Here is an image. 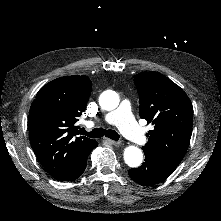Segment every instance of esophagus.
Returning <instances> with one entry per match:
<instances>
[{
	"instance_id": "obj_1",
	"label": "esophagus",
	"mask_w": 221,
	"mask_h": 221,
	"mask_svg": "<svg viewBox=\"0 0 221 221\" xmlns=\"http://www.w3.org/2000/svg\"><path fill=\"white\" fill-rule=\"evenodd\" d=\"M104 141H105V142H108V143L111 144V145H115V146L120 145V142H118V141H113V140H111V139H109V138H104Z\"/></svg>"
}]
</instances>
